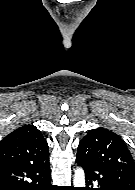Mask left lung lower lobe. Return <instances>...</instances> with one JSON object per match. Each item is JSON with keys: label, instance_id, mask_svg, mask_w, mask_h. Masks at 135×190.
<instances>
[{"label": "left lung lower lobe", "instance_id": "1", "mask_svg": "<svg viewBox=\"0 0 135 190\" xmlns=\"http://www.w3.org/2000/svg\"><path fill=\"white\" fill-rule=\"evenodd\" d=\"M76 161L85 172L87 187L82 190H127L109 171L77 158ZM94 182L98 183L101 187L98 189L88 187V185H92Z\"/></svg>", "mask_w": 135, "mask_h": 190}]
</instances>
